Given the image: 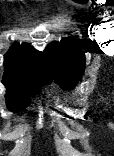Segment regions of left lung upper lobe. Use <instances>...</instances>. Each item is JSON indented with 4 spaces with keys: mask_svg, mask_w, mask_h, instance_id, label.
Here are the masks:
<instances>
[{
    "mask_svg": "<svg viewBox=\"0 0 114 156\" xmlns=\"http://www.w3.org/2000/svg\"><path fill=\"white\" fill-rule=\"evenodd\" d=\"M46 55L56 71L55 80L62 88L72 89L81 80L85 66L84 53L78 48L75 38L52 42Z\"/></svg>",
    "mask_w": 114,
    "mask_h": 156,
    "instance_id": "left-lung-upper-lobe-1",
    "label": "left lung upper lobe"
}]
</instances>
